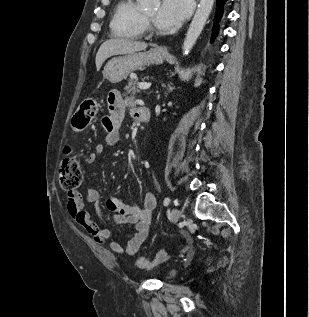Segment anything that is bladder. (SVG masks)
Here are the masks:
<instances>
[{
  "mask_svg": "<svg viewBox=\"0 0 309 317\" xmlns=\"http://www.w3.org/2000/svg\"><path fill=\"white\" fill-rule=\"evenodd\" d=\"M176 275H177V271L176 270H171V271L168 272L167 278L168 279H172V278L176 277Z\"/></svg>",
  "mask_w": 309,
  "mask_h": 317,
  "instance_id": "31cf9c89",
  "label": "bladder"
}]
</instances>
